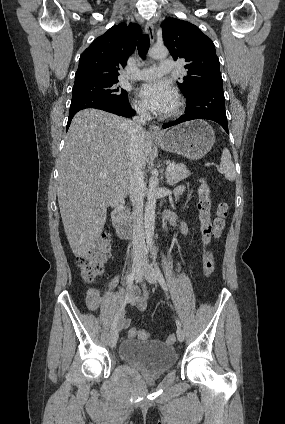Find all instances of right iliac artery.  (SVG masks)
<instances>
[{
    "mask_svg": "<svg viewBox=\"0 0 285 424\" xmlns=\"http://www.w3.org/2000/svg\"><path fill=\"white\" fill-rule=\"evenodd\" d=\"M133 281H134V274L133 272L130 273L127 277L126 280V284H127V291H130L133 287ZM118 319H119V315L117 314V316L115 317L112 325H111V330H115V328L117 327V323H118Z\"/></svg>",
    "mask_w": 285,
    "mask_h": 424,
    "instance_id": "82829eb1",
    "label": "right iliac artery"
}]
</instances>
